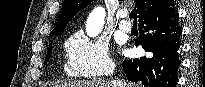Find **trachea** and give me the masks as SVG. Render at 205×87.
I'll use <instances>...</instances> for the list:
<instances>
[{
  "label": "trachea",
  "instance_id": "1",
  "mask_svg": "<svg viewBox=\"0 0 205 87\" xmlns=\"http://www.w3.org/2000/svg\"><path fill=\"white\" fill-rule=\"evenodd\" d=\"M129 17L134 19V21H137V11L136 9H133L130 14H129Z\"/></svg>",
  "mask_w": 205,
  "mask_h": 87
}]
</instances>
